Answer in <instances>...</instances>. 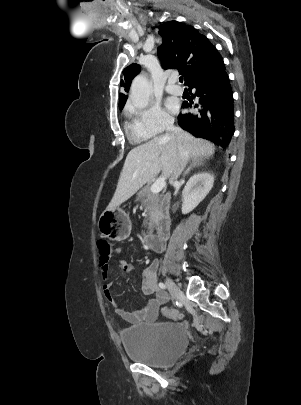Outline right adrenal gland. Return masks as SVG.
I'll use <instances>...</instances> for the list:
<instances>
[{
	"label": "right adrenal gland",
	"instance_id": "1",
	"mask_svg": "<svg viewBox=\"0 0 301 405\" xmlns=\"http://www.w3.org/2000/svg\"><path fill=\"white\" fill-rule=\"evenodd\" d=\"M204 164V160L200 159H192L190 166L187 170L183 173V177H185L193 168L199 167L200 165Z\"/></svg>",
	"mask_w": 301,
	"mask_h": 405
}]
</instances>
